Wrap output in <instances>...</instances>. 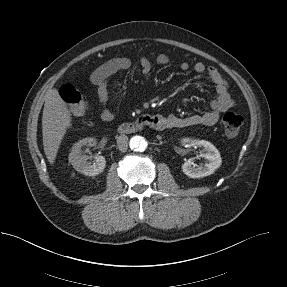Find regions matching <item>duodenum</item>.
<instances>
[{
  "label": "duodenum",
  "instance_id": "duodenum-1",
  "mask_svg": "<svg viewBox=\"0 0 287 287\" xmlns=\"http://www.w3.org/2000/svg\"><path fill=\"white\" fill-rule=\"evenodd\" d=\"M161 125L160 119L156 115H141L132 122L122 123L118 131L122 134H130L142 130L145 127L159 129Z\"/></svg>",
  "mask_w": 287,
  "mask_h": 287
}]
</instances>
